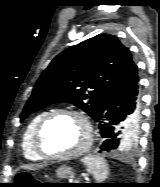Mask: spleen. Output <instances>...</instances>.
<instances>
[{"label":"spleen","instance_id":"3e777b00","mask_svg":"<svg viewBox=\"0 0 160 187\" xmlns=\"http://www.w3.org/2000/svg\"><path fill=\"white\" fill-rule=\"evenodd\" d=\"M82 162L93 173L97 181H103L108 175V166L103 158L97 156H88L82 159Z\"/></svg>","mask_w":160,"mask_h":187}]
</instances>
